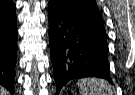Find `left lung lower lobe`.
Instances as JSON below:
<instances>
[{"mask_svg":"<svg viewBox=\"0 0 135 95\" xmlns=\"http://www.w3.org/2000/svg\"><path fill=\"white\" fill-rule=\"evenodd\" d=\"M50 54L56 92L72 79L99 77L112 83L104 26L69 16L48 5Z\"/></svg>","mask_w":135,"mask_h":95,"instance_id":"obj_1","label":"left lung lower lobe"}]
</instances>
